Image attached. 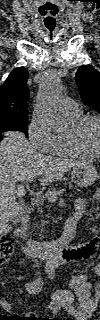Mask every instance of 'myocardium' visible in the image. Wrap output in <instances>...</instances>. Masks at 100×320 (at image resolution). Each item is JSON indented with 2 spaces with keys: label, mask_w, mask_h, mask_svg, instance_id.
I'll return each mask as SVG.
<instances>
[{
  "label": "myocardium",
  "mask_w": 100,
  "mask_h": 320,
  "mask_svg": "<svg viewBox=\"0 0 100 320\" xmlns=\"http://www.w3.org/2000/svg\"><path fill=\"white\" fill-rule=\"evenodd\" d=\"M95 122L99 128L100 134V118L97 116L86 115L82 116L72 127L69 131L70 137L74 143H76L80 148L85 150L87 153L91 155H99L100 154V144L97 149H94L90 145H88L83 139V130L85 126L90 123Z\"/></svg>",
  "instance_id": "f54148a6"
}]
</instances>
